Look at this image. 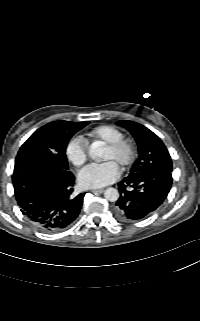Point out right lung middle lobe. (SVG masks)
I'll use <instances>...</instances> for the list:
<instances>
[{
	"instance_id": "right-lung-middle-lobe-1",
	"label": "right lung middle lobe",
	"mask_w": 200,
	"mask_h": 321,
	"mask_svg": "<svg viewBox=\"0 0 200 321\" xmlns=\"http://www.w3.org/2000/svg\"><path fill=\"white\" fill-rule=\"evenodd\" d=\"M89 122H50L35 131L21 146L15 164L31 159H42L69 171L66 147L70 138Z\"/></svg>"
}]
</instances>
